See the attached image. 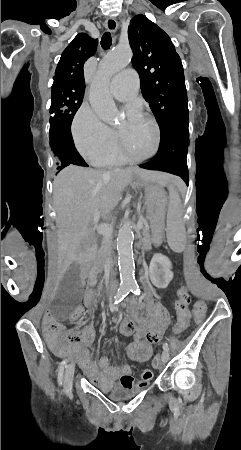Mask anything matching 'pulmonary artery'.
<instances>
[{"instance_id": "e3ab8cb5", "label": "pulmonary artery", "mask_w": 241, "mask_h": 450, "mask_svg": "<svg viewBox=\"0 0 241 450\" xmlns=\"http://www.w3.org/2000/svg\"><path fill=\"white\" fill-rule=\"evenodd\" d=\"M139 76L137 69H126L120 71L119 75H116L112 79L110 85L111 95L120 102H128L137 92Z\"/></svg>"}]
</instances>
